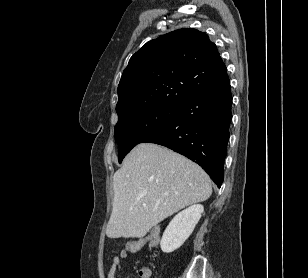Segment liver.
<instances>
[{
    "instance_id": "liver-1",
    "label": "liver",
    "mask_w": 308,
    "mask_h": 278,
    "mask_svg": "<svg viewBox=\"0 0 308 278\" xmlns=\"http://www.w3.org/2000/svg\"><path fill=\"white\" fill-rule=\"evenodd\" d=\"M109 238H141L179 210L207 200L209 176L196 163L166 147L140 143L113 176Z\"/></svg>"
}]
</instances>
